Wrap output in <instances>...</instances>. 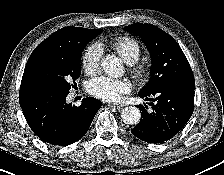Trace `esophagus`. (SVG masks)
Here are the masks:
<instances>
[{
  "mask_svg": "<svg viewBox=\"0 0 224 175\" xmlns=\"http://www.w3.org/2000/svg\"><path fill=\"white\" fill-rule=\"evenodd\" d=\"M108 106L111 108H116V109H121L124 107V105L121 103H108Z\"/></svg>",
  "mask_w": 224,
  "mask_h": 175,
  "instance_id": "esophagus-1",
  "label": "esophagus"
}]
</instances>
